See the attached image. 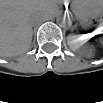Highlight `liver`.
Segmentation results:
<instances>
[{"label":"liver","mask_w":103,"mask_h":103,"mask_svg":"<svg viewBox=\"0 0 103 103\" xmlns=\"http://www.w3.org/2000/svg\"><path fill=\"white\" fill-rule=\"evenodd\" d=\"M55 0L1 1V55L14 56L28 50L32 41V17L53 15L58 10Z\"/></svg>","instance_id":"obj_1"}]
</instances>
